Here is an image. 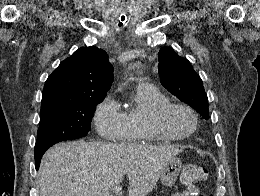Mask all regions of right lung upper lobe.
I'll return each instance as SVG.
<instances>
[{
	"instance_id": "cb5924a9",
	"label": "right lung upper lobe",
	"mask_w": 260,
	"mask_h": 196,
	"mask_svg": "<svg viewBox=\"0 0 260 196\" xmlns=\"http://www.w3.org/2000/svg\"><path fill=\"white\" fill-rule=\"evenodd\" d=\"M113 66L107 53L97 47H83L60 63L48 77L41 106L105 97L113 82Z\"/></svg>"
}]
</instances>
